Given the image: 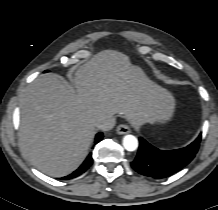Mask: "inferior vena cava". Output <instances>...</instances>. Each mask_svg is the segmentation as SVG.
I'll return each mask as SVG.
<instances>
[{
  "instance_id": "inferior-vena-cava-1",
  "label": "inferior vena cava",
  "mask_w": 218,
  "mask_h": 210,
  "mask_svg": "<svg viewBox=\"0 0 218 210\" xmlns=\"http://www.w3.org/2000/svg\"><path fill=\"white\" fill-rule=\"evenodd\" d=\"M115 126V118L109 117L102 122H99L96 127L102 131H109Z\"/></svg>"
}]
</instances>
